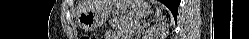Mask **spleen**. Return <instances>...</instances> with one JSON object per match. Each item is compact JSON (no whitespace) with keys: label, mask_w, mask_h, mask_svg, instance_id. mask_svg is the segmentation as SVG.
Instances as JSON below:
<instances>
[{"label":"spleen","mask_w":249,"mask_h":39,"mask_svg":"<svg viewBox=\"0 0 249 39\" xmlns=\"http://www.w3.org/2000/svg\"><path fill=\"white\" fill-rule=\"evenodd\" d=\"M153 2V4H155V5H157V1H152ZM156 16H159L160 14H161V9L160 8H158V7H156Z\"/></svg>","instance_id":"spleen-1"}]
</instances>
